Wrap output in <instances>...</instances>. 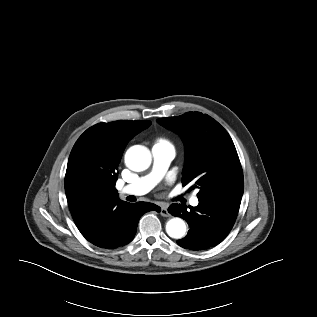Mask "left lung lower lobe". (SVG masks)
I'll use <instances>...</instances> for the list:
<instances>
[{
	"label": "left lung lower lobe",
	"mask_w": 317,
	"mask_h": 317,
	"mask_svg": "<svg viewBox=\"0 0 317 317\" xmlns=\"http://www.w3.org/2000/svg\"><path fill=\"white\" fill-rule=\"evenodd\" d=\"M196 207L172 204L168 211L173 216L185 219L190 226L186 237L178 245L191 250H204L222 242L236 220L241 196L199 197Z\"/></svg>",
	"instance_id": "left-lung-lower-lobe-1"
}]
</instances>
